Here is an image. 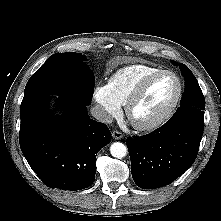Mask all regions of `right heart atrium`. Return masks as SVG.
<instances>
[{
    "label": "right heart atrium",
    "mask_w": 221,
    "mask_h": 221,
    "mask_svg": "<svg viewBox=\"0 0 221 221\" xmlns=\"http://www.w3.org/2000/svg\"><path fill=\"white\" fill-rule=\"evenodd\" d=\"M93 99L101 121L109 122L120 113L121 105L114 99L107 85H97L93 90Z\"/></svg>",
    "instance_id": "d8ad5b80"
}]
</instances>
